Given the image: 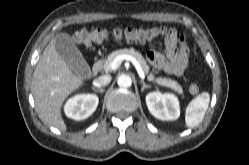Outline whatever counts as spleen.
<instances>
[{
  "label": "spleen",
  "instance_id": "3e777b00",
  "mask_svg": "<svg viewBox=\"0 0 249 165\" xmlns=\"http://www.w3.org/2000/svg\"><path fill=\"white\" fill-rule=\"evenodd\" d=\"M209 101V93L203 92L188 104L185 114V123L187 127H195L202 121L208 109Z\"/></svg>",
  "mask_w": 249,
  "mask_h": 165
}]
</instances>
